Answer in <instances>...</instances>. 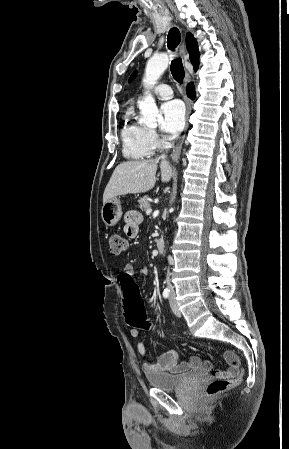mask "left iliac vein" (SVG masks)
<instances>
[{"instance_id": "4c4485c4", "label": "left iliac vein", "mask_w": 289, "mask_h": 449, "mask_svg": "<svg viewBox=\"0 0 289 449\" xmlns=\"http://www.w3.org/2000/svg\"><path fill=\"white\" fill-rule=\"evenodd\" d=\"M169 303H170V307H171L173 313H174L176 316H178V317L181 316V312H180V310H179V308H178V305H177V303H176L174 293H171L170 298H169Z\"/></svg>"}]
</instances>
